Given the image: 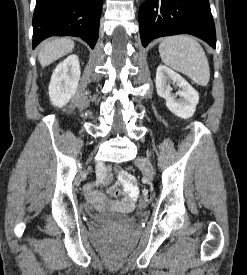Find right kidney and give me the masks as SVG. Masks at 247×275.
<instances>
[{
	"label": "right kidney",
	"mask_w": 247,
	"mask_h": 275,
	"mask_svg": "<svg viewBox=\"0 0 247 275\" xmlns=\"http://www.w3.org/2000/svg\"><path fill=\"white\" fill-rule=\"evenodd\" d=\"M80 74L77 55H70L57 65L49 84V97L54 106L59 108L65 106L75 95Z\"/></svg>",
	"instance_id": "right-kidney-1"
}]
</instances>
